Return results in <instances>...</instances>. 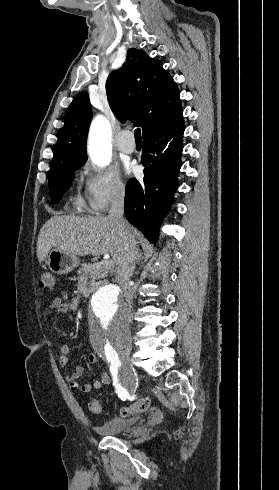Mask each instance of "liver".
Segmentation results:
<instances>
[{
  "label": "liver",
  "instance_id": "liver-1",
  "mask_svg": "<svg viewBox=\"0 0 279 490\" xmlns=\"http://www.w3.org/2000/svg\"><path fill=\"white\" fill-rule=\"evenodd\" d=\"M125 232H129L134 240L140 236L130 224H127ZM51 248H58L74 256L110 254L114 264H118L123 256L124 238L119 228L103 216H53L39 232L37 258L40 264L47 258Z\"/></svg>",
  "mask_w": 279,
  "mask_h": 490
}]
</instances>
